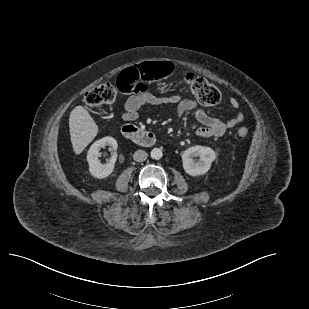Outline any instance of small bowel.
I'll return each instance as SVG.
<instances>
[{"mask_svg": "<svg viewBox=\"0 0 309 309\" xmlns=\"http://www.w3.org/2000/svg\"><path fill=\"white\" fill-rule=\"evenodd\" d=\"M120 84H124V87L126 88L134 89V85L132 84L131 79L127 76L120 80ZM127 93H131V95L126 99L122 113V119L126 122H132L136 120L141 113L142 107L144 106L174 105L175 113L177 116L194 111L196 119L202 124V126L196 130L197 136L208 138L220 137L228 129H232L238 126L244 120V114L240 110L238 100L235 98H231L229 100L232 108L236 110L234 117L227 121H222L221 119L213 117L205 110L199 108L197 102L194 99H183L179 94L162 97L156 96L148 91L146 85L140 89L131 90Z\"/></svg>", "mask_w": 309, "mask_h": 309, "instance_id": "c3829d8e", "label": "small bowel"}]
</instances>
